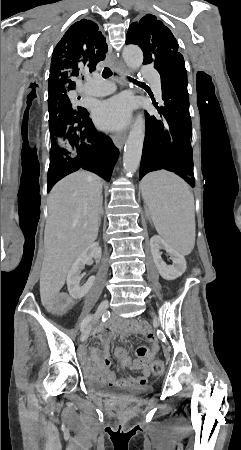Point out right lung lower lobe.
Instances as JSON below:
<instances>
[{"label": "right lung lower lobe", "mask_w": 241, "mask_h": 450, "mask_svg": "<svg viewBox=\"0 0 241 450\" xmlns=\"http://www.w3.org/2000/svg\"><path fill=\"white\" fill-rule=\"evenodd\" d=\"M88 115L60 126L74 145V151L50 155L47 192L60 179L80 168L110 180L119 151L109 137L96 131Z\"/></svg>", "instance_id": "98d812e1"}]
</instances>
